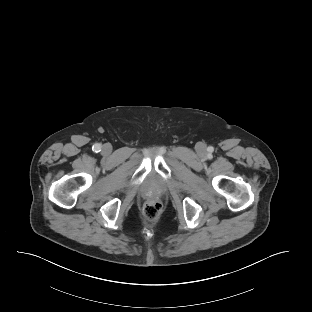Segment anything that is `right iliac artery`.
Instances as JSON below:
<instances>
[{
  "mask_svg": "<svg viewBox=\"0 0 312 312\" xmlns=\"http://www.w3.org/2000/svg\"><path fill=\"white\" fill-rule=\"evenodd\" d=\"M92 150L94 151V152H100L101 151V145L100 144H98V143H96V144H94L93 145V147H92Z\"/></svg>",
  "mask_w": 312,
  "mask_h": 312,
  "instance_id": "obj_1",
  "label": "right iliac artery"
}]
</instances>
